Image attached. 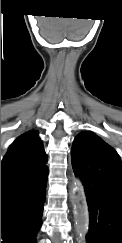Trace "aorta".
<instances>
[{"instance_id":"aorta-1","label":"aorta","mask_w":122,"mask_h":243,"mask_svg":"<svg viewBox=\"0 0 122 243\" xmlns=\"http://www.w3.org/2000/svg\"><path fill=\"white\" fill-rule=\"evenodd\" d=\"M70 200L73 206L76 233L82 240L87 233L88 211L84 191L79 179L73 178L72 180Z\"/></svg>"}]
</instances>
